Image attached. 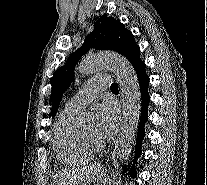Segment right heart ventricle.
<instances>
[{
    "instance_id": "1",
    "label": "right heart ventricle",
    "mask_w": 207,
    "mask_h": 185,
    "mask_svg": "<svg viewBox=\"0 0 207 185\" xmlns=\"http://www.w3.org/2000/svg\"><path fill=\"white\" fill-rule=\"evenodd\" d=\"M76 113L65 108L54 128L53 141L57 155L69 165L90 162L96 156V151L85 142L75 123Z\"/></svg>"
}]
</instances>
